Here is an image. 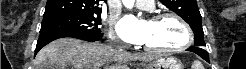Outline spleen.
Listing matches in <instances>:
<instances>
[{
  "mask_svg": "<svg viewBox=\"0 0 246 69\" xmlns=\"http://www.w3.org/2000/svg\"><path fill=\"white\" fill-rule=\"evenodd\" d=\"M191 69H204L200 61L195 60L191 66Z\"/></svg>",
  "mask_w": 246,
  "mask_h": 69,
  "instance_id": "spleen-1",
  "label": "spleen"
}]
</instances>
